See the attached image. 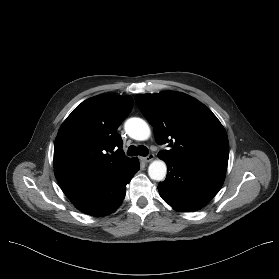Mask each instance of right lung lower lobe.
I'll list each match as a JSON object with an SVG mask.
<instances>
[{
  "mask_svg": "<svg viewBox=\"0 0 279 279\" xmlns=\"http://www.w3.org/2000/svg\"><path fill=\"white\" fill-rule=\"evenodd\" d=\"M139 168V161L135 158L127 168L110 179L66 196L83 213L92 216L110 214L122 203L126 194V184L131 181Z\"/></svg>",
  "mask_w": 279,
  "mask_h": 279,
  "instance_id": "right-lung-lower-lobe-1",
  "label": "right lung lower lobe"
}]
</instances>
